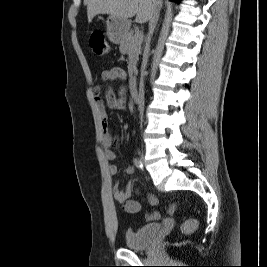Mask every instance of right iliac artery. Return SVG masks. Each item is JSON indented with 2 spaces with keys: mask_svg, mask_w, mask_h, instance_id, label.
<instances>
[{
  "mask_svg": "<svg viewBox=\"0 0 267 267\" xmlns=\"http://www.w3.org/2000/svg\"><path fill=\"white\" fill-rule=\"evenodd\" d=\"M133 162H134V165L138 168V169H143V163H142V161L140 160V159H138V158H134V160H133Z\"/></svg>",
  "mask_w": 267,
  "mask_h": 267,
  "instance_id": "1",
  "label": "right iliac artery"
}]
</instances>
